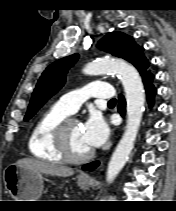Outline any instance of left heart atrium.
I'll use <instances>...</instances> for the list:
<instances>
[{
  "label": "left heart atrium",
  "mask_w": 176,
  "mask_h": 211,
  "mask_svg": "<svg viewBox=\"0 0 176 211\" xmlns=\"http://www.w3.org/2000/svg\"><path fill=\"white\" fill-rule=\"evenodd\" d=\"M82 134L86 144L90 148H96L107 140L109 128L99 114H92L82 125Z\"/></svg>",
  "instance_id": "1"
}]
</instances>
